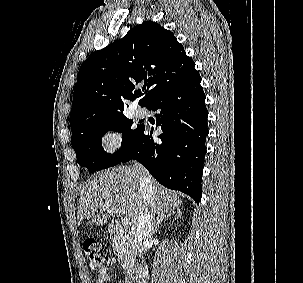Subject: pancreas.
<instances>
[{
	"label": "pancreas",
	"mask_w": 303,
	"mask_h": 283,
	"mask_svg": "<svg viewBox=\"0 0 303 283\" xmlns=\"http://www.w3.org/2000/svg\"><path fill=\"white\" fill-rule=\"evenodd\" d=\"M113 247L117 252L118 259L122 266L126 269L132 268L137 253V247L132 236L126 232L118 234L113 239Z\"/></svg>",
	"instance_id": "1"
}]
</instances>
